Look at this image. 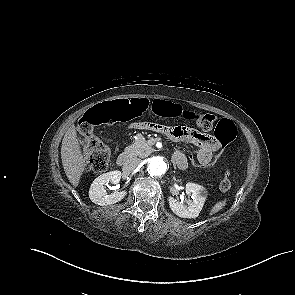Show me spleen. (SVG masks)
Instances as JSON below:
<instances>
[{"instance_id":"1","label":"spleen","mask_w":295,"mask_h":295,"mask_svg":"<svg viewBox=\"0 0 295 295\" xmlns=\"http://www.w3.org/2000/svg\"><path fill=\"white\" fill-rule=\"evenodd\" d=\"M226 205V201H219L217 202L213 207L212 209L210 210V215H213L217 212H219L220 210H222Z\"/></svg>"}]
</instances>
